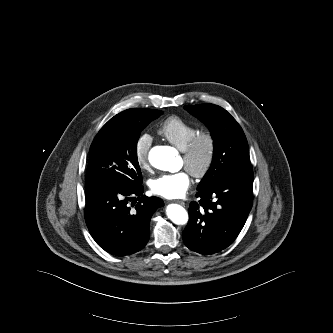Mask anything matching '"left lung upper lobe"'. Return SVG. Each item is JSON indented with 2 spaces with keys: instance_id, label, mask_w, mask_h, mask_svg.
Masks as SVG:
<instances>
[{
  "instance_id": "5c2ea615",
  "label": "left lung upper lobe",
  "mask_w": 333,
  "mask_h": 333,
  "mask_svg": "<svg viewBox=\"0 0 333 333\" xmlns=\"http://www.w3.org/2000/svg\"><path fill=\"white\" fill-rule=\"evenodd\" d=\"M184 108L208 125L214 140L211 167L197 190L206 189L227 176L252 171L244 132L225 109L213 104L188 105Z\"/></svg>"
}]
</instances>
